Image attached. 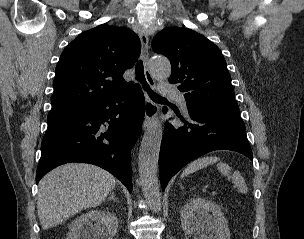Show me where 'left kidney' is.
<instances>
[{"instance_id": "left-kidney-1", "label": "left kidney", "mask_w": 304, "mask_h": 239, "mask_svg": "<svg viewBox=\"0 0 304 239\" xmlns=\"http://www.w3.org/2000/svg\"><path fill=\"white\" fill-rule=\"evenodd\" d=\"M180 218L185 234L196 233L199 239H230L224 213L219 205L210 200L190 199L182 208Z\"/></svg>"}]
</instances>
